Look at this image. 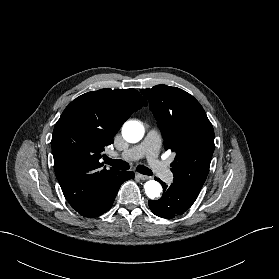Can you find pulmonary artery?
Instances as JSON below:
<instances>
[{
    "label": "pulmonary artery",
    "mask_w": 279,
    "mask_h": 279,
    "mask_svg": "<svg viewBox=\"0 0 279 279\" xmlns=\"http://www.w3.org/2000/svg\"><path fill=\"white\" fill-rule=\"evenodd\" d=\"M160 144V134L156 130H151L141 144L122 152L120 156L126 160H137L146 157L153 171L161 179L169 181L172 179V174L166 164L158 159Z\"/></svg>",
    "instance_id": "e3ab8cb5"
}]
</instances>
